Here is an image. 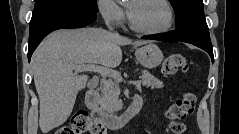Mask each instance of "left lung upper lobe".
<instances>
[{"mask_svg": "<svg viewBox=\"0 0 239 134\" xmlns=\"http://www.w3.org/2000/svg\"><path fill=\"white\" fill-rule=\"evenodd\" d=\"M175 11L176 29L189 25H207L202 0H170Z\"/></svg>", "mask_w": 239, "mask_h": 134, "instance_id": "5c2ea615", "label": "left lung upper lobe"}]
</instances>
